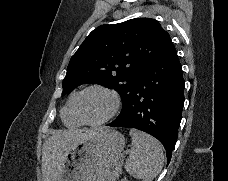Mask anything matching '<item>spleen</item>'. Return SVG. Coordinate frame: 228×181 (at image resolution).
Here are the masks:
<instances>
[{
	"label": "spleen",
	"instance_id": "1",
	"mask_svg": "<svg viewBox=\"0 0 228 181\" xmlns=\"http://www.w3.org/2000/svg\"><path fill=\"white\" fill-rule=\"evenodd\" d=\"M132 149L126 159L125 169L134 179L154 181L164 165V149L157 139L130 129Z\"/></svg>",
	"mask_w": 228,
	"mask_h": 181
}]
</instances>
